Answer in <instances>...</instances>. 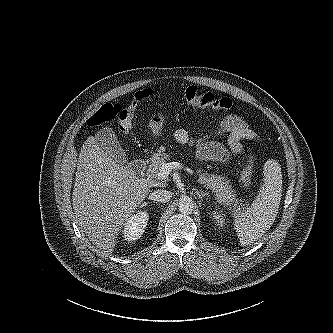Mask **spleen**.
<instances>
[{
	"mask_svg": "<svg viewBox=\"0 0 333 333\" xmlns=\"http://www.w3.org/2000/svg\"><path fill=\"white\" fill-rule=\"evenodd\" d=\"M264 184L251 206L235 215L234 228L241 246L251 245L272 226L282 196V172L277 160L265 162Z\"/></svg>",
	"mask_w": 333,
	"mask_h": 333,
	"instance_id": "obj_1",
	"label": "spleen"
}]
</instances>
